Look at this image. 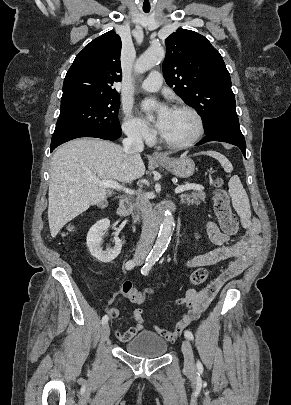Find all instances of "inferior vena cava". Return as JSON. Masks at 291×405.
I'll list each match as a JSON object with an SVG mask.
<instances>
[{
  "mask_svg": "<svg viewBox=\"0 0 291 405\" xmlns=\"http://www.w3.org/2000/svg\"><path fill=\"white\" fill-rule=\"evenodd\" d=\"M127 138L123 139L124 152L129 155L138 154L143 151L144 144L142 136L137 129H129L126 132ZM137 204L142 212L143 226L140 240L138 242L134 260L143 261L152 248L156 234V223L152 205L147 196L141 195L137 198Z\"/></svg>",
  "mask_w": 291,
  "mask_h": 405,
  "instance_id": "602c4592",
  "label": "inferior vena cava"
}]
</instances>
